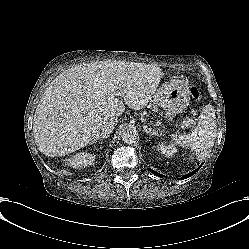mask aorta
Instances as JSON below:
<instances>
[{
	"label": "aorta",
	"instance_id": "obj_1",
	"mask_svg": "<svg viewBox=\"0 0 249 249\" xmlns=\"http://www.w3.org/2000/svg\"><path fill=\"white\" fill-rule=\"evenodd\" d=\"M122 140L126 144H133L137 140V133L132 129L124 130L122 133Z\"/></svg>",
	"mask_w": 249,
	"mask_h": 249
}]
</instances>
